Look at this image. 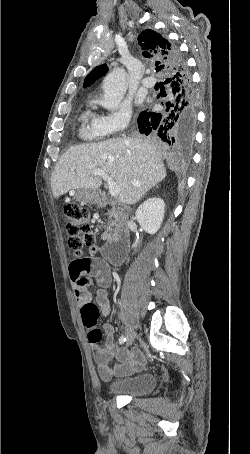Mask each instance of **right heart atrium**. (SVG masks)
<instances>
[{"mask_svg":"<svg viewBox=\"0 0 250 454\" xmlns=\"http://www.w3.org/2000/svg\"><path fill=\"white\" fill-rule=\"evenodd\" d=\"M132 117L130 108L122 105L108 114L98 117V126L103 135H115L123 132Z\"/></svg>","mask_w":250,"mask_h":454,"instance_id":"obj_1","label":"right heart atrium"}]
</instances>
